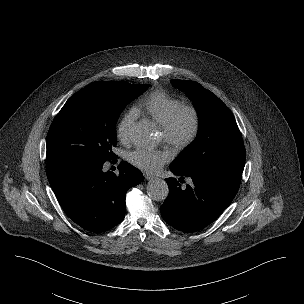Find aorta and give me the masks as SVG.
<instances>
[{"label": "aorta", "mask_w": 304, "mask_h": 304, "mask_svg": "<svg viewBox=\"0 0 304 304\" xmlns=\"http://www.w3.org/2000/svg\"><path fill=\"white\" fill-rule=\"evenodd\" d=\"M133 140L138 146L151 144L152 138L149 125L140 123L134 131ZM168 193L169 189L165 180L154 178L148 182L147 194L151 199L155 201H163L167 198Z\"/></svg>", "instance_id": "obj_1"}]
</instances>
